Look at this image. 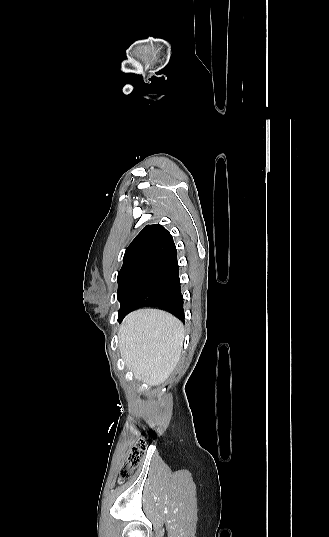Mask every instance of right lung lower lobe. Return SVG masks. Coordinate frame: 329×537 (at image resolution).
I'll list each match as a JSON object with an SVG mask.
<instances>
[{"label": "right lung lower lobe", "mask_w": 329, "mask_h": 537, "mask_svg": "<svg viewBox=\"0 0 329 537\" xmlns=\"http://www.w3.org/2000/svg\"><path fill=\"white\" fill-rule=\"evenodd\" d=\"M142 306H154L184 321L176 248L149 263L136 277L121 303L118 321Z\"/></svg>", "instance_id": "98d812e1"}]
</instances>
